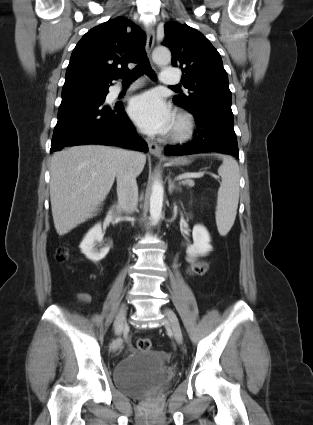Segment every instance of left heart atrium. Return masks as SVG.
Masks as SVG:
<instances>
[{
	"instance_id": "left-heart-atrium-1",
	"label": "left heart atrium",
	"mask_w": 313,
	"mask_h": 425,
	"mask_svg": "<svg viewBox=\"0 0 313 425\" xmlns=\"http://www.w3.org/2000/svg\"><path fill=\"white\" fill-rule=\"evenodd\" d=\"M128 111L136 125L146 133H166L173 124L169 105L153 91L134 97Z\"/></svg>"
}]
</instances>
